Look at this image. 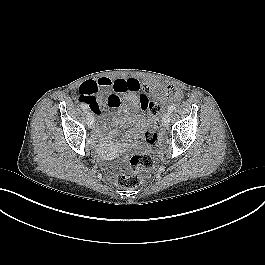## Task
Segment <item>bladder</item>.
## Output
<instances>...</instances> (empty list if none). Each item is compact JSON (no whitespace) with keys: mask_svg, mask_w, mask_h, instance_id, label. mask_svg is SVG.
I'll use <instances>...</instances> for the list:
<instances>
[{"mask_svg":"<svg viewBox=\"0 0 265 265\" xmlns=\"http://www.w3.org/2000/svg\"><path fill=\"white\" fill-rule=\"evenodd\" d=\"M138 110L136 115L134 116L133 120L129 122V124L135 125V124H147L150 123V117L149 115L145 112V107L142 103V101L138 102Z\"/></svg>","mask_w":265,"mask_h":265,"instance_id":"1","label":"bladder"}]
</instances>
